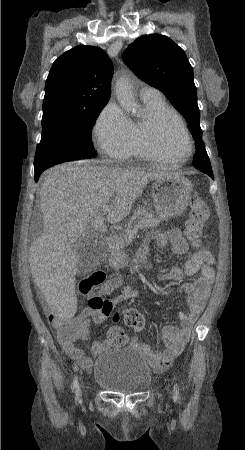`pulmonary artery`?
<instances>
[{
	"label": "pulmonary artery",
	"instance_id": "obj_1",
	"mask_svg": "<svg viewBox=\"0 0 245 450\" xmlns=\"http://www.w3.org/2000/svg\"><path fill=\"white\" fill-rule=\"evenodd\" d=\"M160 95H161V93L156 88L149 86V85H145L140 89V98L141 99L156 97V96H160Z\"/></svg>",
	"mask_w": 245,
	"mask_h": 450
}]
</instances>
